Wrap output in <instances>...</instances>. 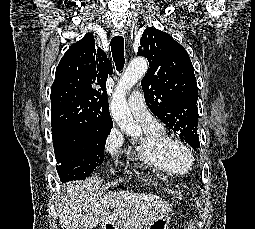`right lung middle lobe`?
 I'll return each mask as SVG.
<instances>
[{"label": "right lung middle lobe", "mask_w": 255, "mask_h": 229, "mask_svg": "<svg viewBox=\"0 0 255 229\" xmlns=\"http://www.w3.org/2000/svg\"><path fill=\"white\" fill-rule=\"evenodd\" d=\"M109 130L52 129L56 166L62 181L85 179L103 163Z\"/></svg>", "instance_id": "right-lung-middle-lobe-1"}]
</instances>
